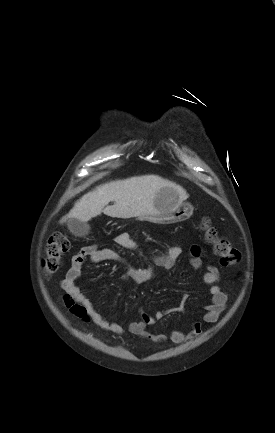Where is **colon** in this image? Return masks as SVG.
Here are the masks:
<instances>
[{"mask_svg":"<svg viewBox=\"0 0 275 433\" xmlns=\"http://www.w3.org/2000/svg\"><path fill=\"white\" fill-rule=\"evenodd\" d=\"M201 228L208 243L213 247L215 255L224 266H233L240 261V252L232 247L229 242L219 236L217 230L212 226L210 219L204 218L201 221ZM70 241L62 230L52 233L46 244V255L43 260V268L47 273L57 272L62 264V258L69 250ZM65 306L77 317L85 318V309L77 304L74 298L65 294L63 297Z\"/></svg>","mask_w":275,"mask_h":433,"instance_id":"obj_1","label":"colon"}]
</instances>
